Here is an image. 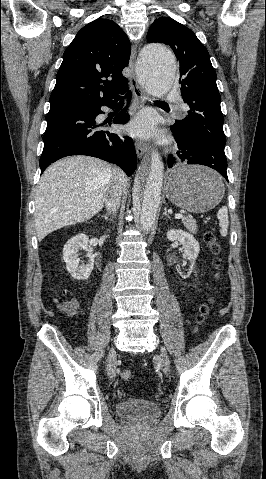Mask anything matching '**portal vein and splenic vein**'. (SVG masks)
Wrapping results in <instances>:
<instances>
[{
	"label": "portal vein and splenic vein",
	"mask_w": 266,
	"mask_h": 479,
	"mask_svg": "<svg viewBox=\"0 0 266 479\" xmlns=\"http://www.w3.org/2000/svg\"><path fill=\"white\" fill-rule=\"evenodd\" d=\"M87 202H90V200L88 199ZM184 216L182 214H176L175 215V218L176 219H182Z\"/></svg>",
	"instance_id": "18ae733b"
}]
</instances>
